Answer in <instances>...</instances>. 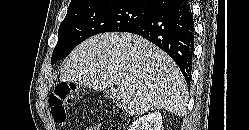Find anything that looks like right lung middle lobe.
I'll list each match as a JSON object with an SVG mask.
<instances>
[{
	"instance_id": "dd1d6c3e",
	"label": "right lung middle lobe",
	"mask_w": 249,
	"mask_h": 130,
	"mask_svg": "<svg viewBox=\"0 0 249 130\" xmlns=\"http://www.w3.org/2000/svg\"><path fill=\"white\" fill-rule=\"evenodd\" d=\"M155 13L128 0L95 1L70 9L60 24L51 64L66 57L78 44L93 35L123 31Z\"/></svg>"
}]
</instances>
